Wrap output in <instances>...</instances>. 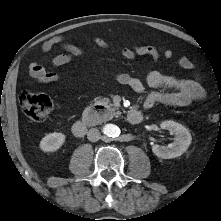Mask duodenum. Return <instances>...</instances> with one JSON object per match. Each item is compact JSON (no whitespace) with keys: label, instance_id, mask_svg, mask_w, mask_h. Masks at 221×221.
Returning <instances> with one entry per match:
<instances>
[{"label":"duodenum","instance_id":"duodenum-1","mask_svg":"<svg viewBox=\"0 0 221 221\" xmlns=\"http://www.w3.org/2000/svg\"><path fill=\"white\" fill-rule=\"evenodd\" d=\"M143 114L138 110H131L126 114V121L130 124H138L142 122ZM88 125L85 121L78 120L72 126V132L75 137L82 138L86 135Z\"/></svg>","mask_w":221,"mask_h":221}]
</instances>
